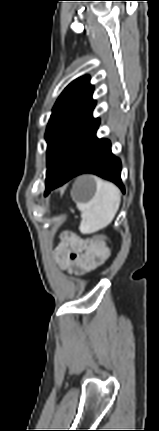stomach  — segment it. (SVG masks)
Segmentation results:
<instances>
[{
  "instance_id": "1",
  "label": "stomach",
  "mask_w": 159,
  "mask_h": 431,
  "mask_svg": "<svg viewBox=\"0 0 159 431\" xmlns=\"http://www.w3.org/2000/svg\"><path fill=\"white\" fill-rule=\"evenodd\" d=\"M96 178L83 175L77 178L72 189V198L76 203H88L96 193Z\"/></svg>"
}]
</instances>
